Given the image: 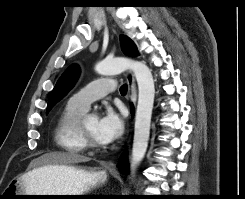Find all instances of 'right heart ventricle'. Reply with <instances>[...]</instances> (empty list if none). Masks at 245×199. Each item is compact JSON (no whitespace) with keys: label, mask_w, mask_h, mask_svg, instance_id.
I'll return each instance as SVG.
<instances>
[{"label":"right heart ventricle","mask_w":245,"mask_h":199,"mask_svg":"<svg viewBox=\"0 0 245 199\" xmlns=\"http://www.w3.org/2000/svg\"><path fill=\"white\" fill-rule=\"evenodd\" d=\"M85 112L68 102L55 127V139L58 146L73 155L87 150L79 136V122Z\"/></svg>","instance_id":"1"}]
</instances>
